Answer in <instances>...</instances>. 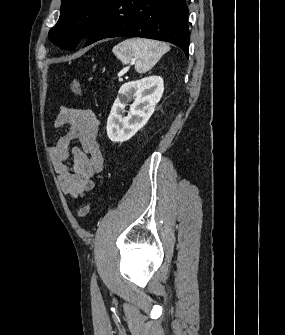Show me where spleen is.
I'll return each mask as SVG.
<instances>
[{"instance_id": "3e777b00", "label": "spleen", "mask_w": 285, "mask_h": 335, "mask_svg": "<svg viewBox=\"0 0 285 335\" xmlns=\"http://www.w3.org/2000/svg\"><path fill=\"white\" fill-rule=\"evenodd\" d=\"M168 44L145 38H131L114 46L112 52L122 64H130L135 60V70L143 74L151 70L163 54L169 52Z\"/></svg>"}]
</instances>
